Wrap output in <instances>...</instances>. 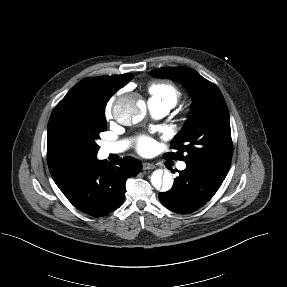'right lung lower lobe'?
<instances>
[{
  "label": "right lung lower lobe",
  "instance_id": "1",
  "mask_svg": "<svg viewBox=\"0 0 287 287\" xmlns=\"http://www.w3.org/2000/svg\"><path fill=\"white\" fill-rule=\"evenodd\" d=\"M141 170V162L133 157H124L114 165L94 157L60 189L77 209L94 217H102L122 205L125 181Z\"/></svg>",
  "mask_w": 287,
  "mask_h": 287
}]
</instances>
